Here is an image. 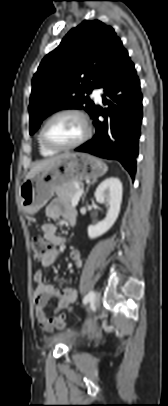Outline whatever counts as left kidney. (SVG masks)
<instances>
[{"instance_id":"5707ae66","label":"left kidney","mask_w":168,"mask_h":406,"mask_svg":"<svg viewBox=\"0 0 168 406\" xmlns=\"http://www.w3.org/2000/svg\"><path fill=\"white\" fill-rule=\"evenodd\" d=\"M122 193V183L118 178H107L98 185L94 193L95 199L98 203L105 204L108 211L104 220L88 226L89 238H97L113 226L120 212Z\"/></svg>"}]
</instances>
